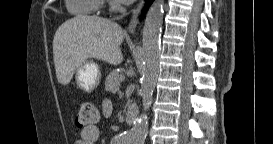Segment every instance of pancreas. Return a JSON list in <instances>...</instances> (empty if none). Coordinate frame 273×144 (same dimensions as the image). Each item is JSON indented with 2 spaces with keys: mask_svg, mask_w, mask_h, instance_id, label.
I'll return each mask as SVG.
<instances>
[{
  "mask_svg": "<svg viewBox=\"0 0 273 144\" xmlns=\"http://www.w3.org/2000/svg\"><path fill=\"white\" fill-rule=\"evenodd\" d=\"M120 74L118 71L113 70L109 73L105 80V89L107 91L115 92L119 89Z\"/></svg>",
  "mask_w": 273,
  "mask_h": 144,
  "instance_id": "pancreas-1",
  "label": "pancreas"
}]
</instances>
